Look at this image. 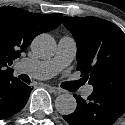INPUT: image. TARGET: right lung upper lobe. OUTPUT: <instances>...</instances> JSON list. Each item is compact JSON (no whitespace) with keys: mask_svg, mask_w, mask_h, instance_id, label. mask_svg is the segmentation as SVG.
Masks as SVG:
<instances>
[{"mask_svg":"<svg viewBox=\"0 0 125 125\" xmlns=\"http://www.w3.org/2000/svg\"><path fill=\"white\" fill-rule=\"evenodd\" d=\"M62 14H36L15 7H0V80L13 76L8 67L39 34L57 28Z\"/></svg>","mask_w":125,"mask_h":125,"instance_id":"1","label":"right lung upper lobe"}]
</instances>
